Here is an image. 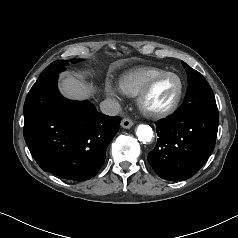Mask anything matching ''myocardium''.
<instances>
[{"instance_id": "1", "label": "myocardium", "mask_w": 238, "mask_h": 238, "mask_svg": "<svg viewBox=\"0 0 238 238\" xmlns=\"http://www.w3.org/2000/svg\"><path fill=\"white\" fill-rule=\"evenodd\" d=\"M167 76H174L179 81V89L178 92L173 99V101L167 105L166 107L159 108V109H153L147 106V99L149 95L151 94L153 88L158 83L159 80L162 78H165ZM184 88L185 84L182 79V77L171 71H165L163 73L158 74L157 76L153 77L149 83L145 86V88L141 91V93L137 97V106L141 113L145 115L146 117L152 118V119H162L165 118L171 114H173L179 107L180 102L182 100L183 94H184Z\"/></svg>"}]
</instances>
